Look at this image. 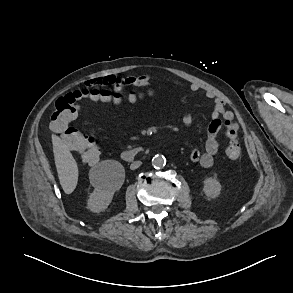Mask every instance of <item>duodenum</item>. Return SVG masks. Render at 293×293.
<instances>
[{"instance_id":"1","label":"duodenum","mask_w":293,"mask_h":293,"mask_svg":"<svg viewBox=\"0 0 293 293\" xmlns=\"http://www.w3.org/2000/svg\"><path fill=\"white\" fill-rule=\"evenodd\" d=\"M142 149L141 148H133V149H128L124 150L121 152L120 156L121 159L125 162H132L140 153Z\"/></svg>"}]
</instances>
